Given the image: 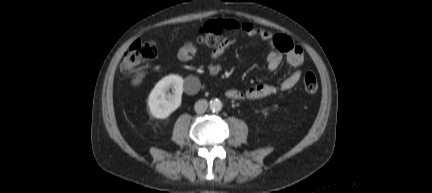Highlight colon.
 <instances>
[{"label": "colon", "instance_id": "colon-1", "mask_svg": "<svg viewBox=\"0 0 432 193\" xmlns=\"http://www.w3.org/2000/svg\"><path fill=\"white\" fill-rule=\"evenodd\" d=\"M202 45L213 48L223 42V30L217 25H205L197 36ZM158 55V48L154 41L136 40L126 51L119 70L123 75H129L142 63L153 60ZM303 87L308 93L318 89V80L314 73L308 72L303 78Z\"/></svg>", "mask_w": 432, "mask_h": 193}]
</instances>
